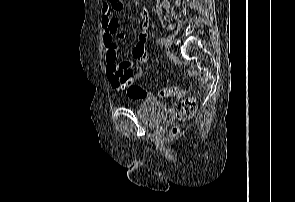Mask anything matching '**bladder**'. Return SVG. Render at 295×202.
<instances>
[{
    "label": "bladder",
    "mask_w": 295,
    "mask_h": 202,
    "mask_svg": "<svg viewBox=\"0 0 295 202\" xmlns=\"http://www.w3.org/2000/svg\"><path fill=\"white\" fill-rule=\"evenodd\" d=\"M137 116L146 124H159L167 117L166 104L153 97H144L138 106Z\"/></svg>",
    "instance_id": "obj_1"
}]
</instances>
